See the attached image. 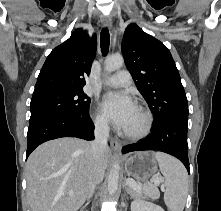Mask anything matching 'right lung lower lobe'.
Masks as SVG:
<instances>
[{"instance_id":"right-lung-lower-lobe-1","label":"right lung lower lobe","mask_w":221,"mask_h":211,"mask_svg":"<svg viewBox=\"0 0 221 211\" xmlns=\"http://www.w3.org/2000/svg\"><path fill=\"white\" fill-rule=\"evenodd\" d=\"M26 158L40 144L61 137L94 139V124L89 111L83 115L45 114L30 120Z\"/></svg>"}]
</instances>
